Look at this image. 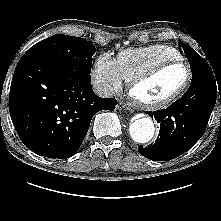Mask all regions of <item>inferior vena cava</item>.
Masks as SVG:
<instances>
[{"instance_id":"inferior-vena-cava-1","label":"inferior vena cava","mask_w":221,"mask_h":221,"mask_svg":"<svg viewBox=\"0 0 221 221\" xmlns=\"http://www.w3.org/2000/svg\"><path fill=\"white\" fill-rule=\"evenodd\" d=\"M93 87L95 93L100 97L109 98L115 94L113 87L107 82L95 81Z\"/></svg>"}]
</instances>
